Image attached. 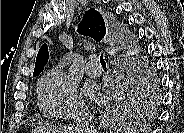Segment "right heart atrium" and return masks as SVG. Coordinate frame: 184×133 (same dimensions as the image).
<instances>
[{
	"mask_svg": "<svg viewBox=\"0 0 184 133\" xmlns=\"http://www.w3.org/2000/svg\"><path fill=\"white\" fill-rule=\"evenodd\" d=\"M38 96L43 112L54 119H67L86 109L76 84L60 68H54L40 79Z\"/></svg>",
	"mask_w": 184,
	"mask_h": 133,
	"instance_id": "d8ad5b80",
	"label": "right heart atrium"
}]
</instances>
